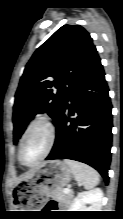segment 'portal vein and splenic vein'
I'll list each match as a JSON object with an SVG mask.
<instances>
[{
    "label": "portal vein and splenic vein",
    "mask_w": 123,
    "mask_h": 219,
    "mask_svg": "<svg viewBox=\"0 0 123 219\" xmlns=\"http://www.w3.org/2000/svg\"><path fill=\"white\" fill-rule=\"evenodd\" d=\"M65 194H69L71 192V190L69 188H65L63 191Z\"/></svg>",
    "instance_id": "18ae733b"
}]
</instances>
